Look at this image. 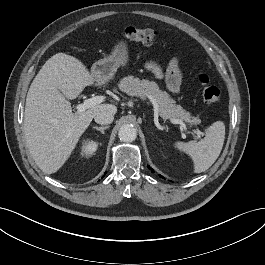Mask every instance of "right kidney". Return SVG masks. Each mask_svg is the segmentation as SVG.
<instances>
[{
    "instance_id": "1",
    "label": "right kidney",
    "mask_w": 265,
    "mask_h": 265,
    "mask_svg": "<svg viewBox=\"0 0 265 265\" xmlns=\"http://www.w3.org/2000/svg\"><path fill=\"white\" fill-rule=\"evenodd\" d=\"M98 148V143L96 141H86L83 143L81 149V155L83 156H91Z\"/></svg>"
}]
</instances>
